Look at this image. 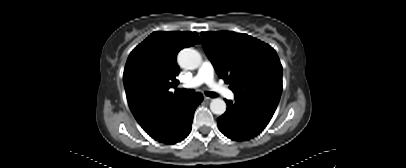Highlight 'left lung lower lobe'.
I'll list each match as a JSON object with an SVG mask.
<instances>
[{
  "instance_id": "0a47b994",
  "label": "left lung lower lobe",
  "mask_w": 406,
  "mask_h": 168,
  "mask_svg": "<svg viewBox=\"0 0 406 168\" xmlns=\"http://www.w3.org/2000/svg\"><path fill=\"white\" fill-rule=\"evenodd\" d=\"M227 110L217 119L219 130L236 141L249 140L258 135L271 120L275 109L235 98L226 100Z\"/></svg>"
}]
</instances>
